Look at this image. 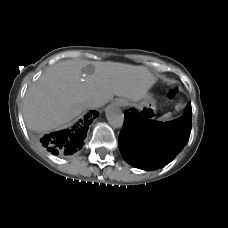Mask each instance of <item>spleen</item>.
I'll return each instance as SVG.
<instances>
[{
    "label": "spleen",
    "mask_w": 228,
    "mask_h": 228,
    "mask_svg": "<svg viewBox=\"0 0 228 228\" xmlns=\"http://www.w3.org/2000/svg\"><path fill=\"white\" fill-rule=\"evenodd\" d=\"M170 117H171V113L168 112V113L164 114V115L161 117V119L167 120V119H169Z\"/></svg>",
    "instance_id": "obj_1"
}]
</instances>
